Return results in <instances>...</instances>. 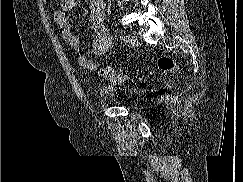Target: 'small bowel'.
Returning a JSON list of instances; mask_svg holds the SVG:
<instances>
[{"mask_svg": "<svg viewBox=\"0 0 243 182\" xmlns=\"http://www.w3.org/2000/svg\"><path fill=\"white\" fill-rule=\"evenodd\" d=\"M77 0H60V9L54 13V21L65 43L74 51L81 48L80 39L71 31L68 14L77 7ZM105 5L103 0H92L89 6V16L93 30L91 49L98 58L102 57L113 46V37L103 23ZM78 65L87 72H94L99 67V60L93 61L86 54H79Z\"/></svg>", "mask_w": 243, "mask_h": 182, "instance_id": "obj_1", "label": "small bowel"}]
</instances>
